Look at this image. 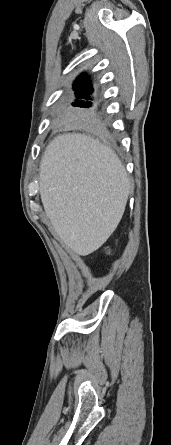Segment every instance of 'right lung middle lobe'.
Masks as SVG:
<instances>
[{"instance_id":"1","label":"right lung middle lobe","mask_w":171,"mask_h":445,"mask_svg":"<svg viewBox=\"0 0 171 445\" xmlns=\"http://www.w3.org/2000/svg\"><path fill=\"white\" fill-rule=\"evenodd\" d=\"M77 100L69 109L62 111L61 118L66 122L74 123L91 131L102 133L97 108L88 101L90 95L76 94ZM84 99V100H83Z\"/></svg>"}]
</instances>
